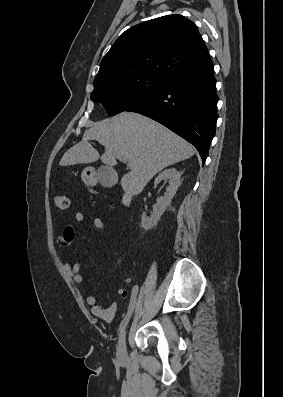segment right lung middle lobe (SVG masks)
Instances as JSON below:
<instances>
[{
	"label": "right lung middle lobe",
	"mask_w": 283,
	"mask_h": 397,
	"mask_svg": "<svg viewBox=\"0 0 283 397\" xmlns=\"http://www.w3.org/2000/svg\"><path fill=\"white\" fill-rule=\"evenodd\" d=\"M164 81L147 75L101 80L94 82L91 99L101 103L107 113L113 116L155 93Z\"/></svg>",
	"instance_id": "right-lung-middle-lobe-1"
}]
</instances>
